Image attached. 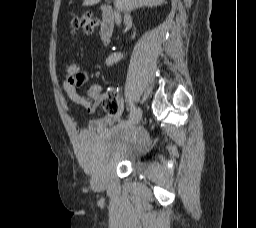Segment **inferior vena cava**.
<instances>
[{
  "instance_id": "602c4592",
  "label": "inferior vena cava",
  "mask_w": 256,
  "mask_h": 228,
  "mask_svg": "<svg viewBox=\"0 0 256 228\" xmlns=\"http://www.w3.org/2000/svg\"><path fill=\"white\" fill-rule=\"evenodd\" d=\"M115 22L117 23V25H120L121 17L118 13H115Z\"/></svg>"
}]
</instances>
